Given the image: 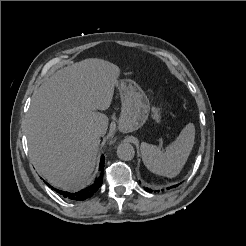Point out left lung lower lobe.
Returning a JSON list of instances; mask_svg holds the SVG:
<instances>
[{
    "label": "left lung lower lobe",
    "mask_w": 246,
    "mask_h": 246,
    "mask_svg": "<svg viewBox=\"0 0 246 246\" xmlns=\"http://www.w3.org/2000/svg\"><path fill=\"white\" fill-rule=\"evenodd\" d=\"M177 185H175V186H172V187H176ZM172 187H169L168 189H170V188H172ZM145 190L147 191V192H152V190L151 189H149V188H145Z\"/></svg>",
    "instance_id": "1"
}]
</instances>
